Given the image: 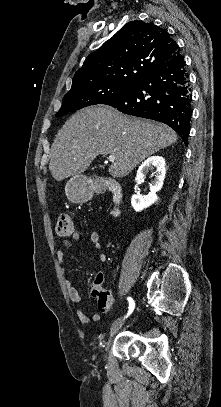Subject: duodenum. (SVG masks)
Listing matches in <instances>:
<instances>
[{"label": "duodenum", "mask_w": 221, "mask_h": 407, "mask_svg": "<svg viewBox=\"0 0 221 407\" xmlns=\"http://www.w3.org/2000/svg\"><path fill=\"white\" fill-rule=\"evenodd\" d=\"M90 191L93 194H101L109 191L112 195L113 203L111 214L114 217L119 216L122 203V188L119 184L112 182L93 183L90 185Z\"/></svg>", "instance_id": "410a0bca"}]
</instances>
